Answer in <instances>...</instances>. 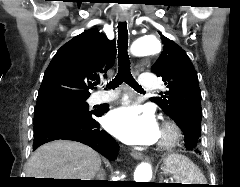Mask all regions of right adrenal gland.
Masks as SVG:
<instances>
[{"label":"right adrenal gland","mask_w":240,"mask_h":187,"mask_svg":"<svg viewBox=\"0 0 240 187\" xmlns=\"http://www.w3.org/2000/svg\"><path fill=\"white\" fill-rule=\"evenodd\" d=\"M105 171L103 168L100 169L96 179H104Z\"/></svg>","instance_id":"2a0ac1e0"}]
</instances>
